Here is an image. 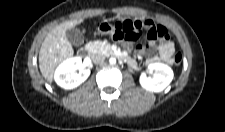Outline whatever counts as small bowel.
<instances>
[{
  "instance_id": "1",
  "label": "small bowel",
  "mask_w": 225,
  "mask_h": 132,
  "mask_svg": "<svg viewBox=\"0 0 225 132\" xmlns=\"http://www.w3.org/2000/svg\"><path fill=\"white\" fill-rule=\"evenodd\" d=\"M118 25L123 31H135L141 30L142 28L152 29L155 28L153 21L151 20H130V19H121L119 21L114 22ZM130 47V44L127 45ZM139 53L147 56L149 62L163 61L168 64L173 63V54L175 51V47L172 41L168 38L163 39V41L157 47V54H155V41L149 40L148 46L144 47L139 45L137 47ZM131 66H135V61H129Z\"/></svg>"
}]
</instances>
